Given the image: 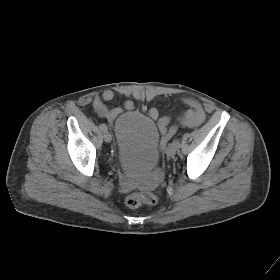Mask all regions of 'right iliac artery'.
I'll list each match as a JSON object with an SVG mask.
<instances>
[{
    "label": "right iliac artery",
    "instance_id": "right-iliac-artery-1",
    "mask_svg": "<svg viewBox=\"0 0 280 280\" xmlns=\"http://www.w3.org/2000/svg\"><path fill=\"white\" fill-rule=\"evenodd\" d=\"M99 128L101 131H104V132L107 131V126L105 124H100Z\"/></svg>",
    "mask_w": 280,
    "mask_h": 280
}]
</instances>
